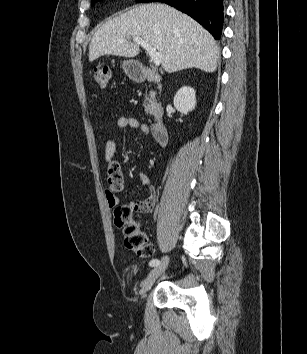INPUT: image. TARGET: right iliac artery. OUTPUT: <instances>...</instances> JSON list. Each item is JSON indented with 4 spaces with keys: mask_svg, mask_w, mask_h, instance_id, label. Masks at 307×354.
<instances>
[{
    "mask_svg": "<svg viewBox=\"0 0 307 354\" xmlns=\"http://www.w3.org/2000/svg\"><path fill=\"white\" fill-rule=\"evenodd\" d=\"M160 264V261L158 259H152L150 262H149V266L151 267H155V266H158Z\"/></svg>",
    "mask_w": 307,
    "mask_h": 354,
    "instance_id": "right-iliac-artery-1",
    "label": "right iliac artery"
}]
</instances>
